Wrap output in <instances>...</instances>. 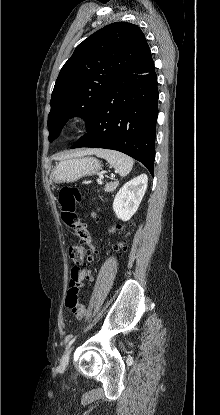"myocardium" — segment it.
I'll return each instance as SVG.
<instances>
[{
  "instance_id": "myocardium-1",
  "label": "myocardium",
  "mask_w": 220,
  "mask_h": 415,
  "mask_svg": "<svg viewBox=\"0 0 220 415\" xmlns=\"http://www.w3.org/2000/svg\"><path fill=\"white\" fill-rule=\"evenodd\" d=\"M84 125L83 119L77 116H71L62 123V132L67 135H72L81 130Z\"/></svg>"
}]
</instances>
